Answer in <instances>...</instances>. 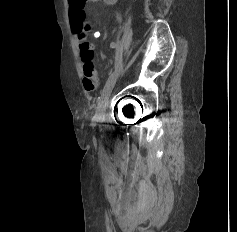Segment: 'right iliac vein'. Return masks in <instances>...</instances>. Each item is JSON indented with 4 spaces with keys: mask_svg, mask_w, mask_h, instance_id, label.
Returning a JSON list of instances; mask_svg holds the SVG:
<instances>
[{
    "mask_svg": "<svg viewBox=\"0 0 237 232\" xmlns=\"http://www.w3.org/2000/svg\"><path fill=\"white\" fill-rule=\"evenodd\" d=\"M119 72L118 70L114 71L108 78L106 85L102 91L100 100L98 102L97 110H96V118L102 119L105 115V111L109 102V97L112 92V89L115 86V83L117 81Z\"/></svg>",
    "mask_w": 237,
    "mask_h": 232,
    "instance_id": "1",
    "label": "right iliac vein"
}]
</instances>
